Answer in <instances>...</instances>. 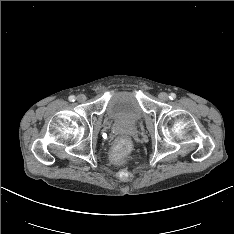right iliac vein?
Masks as SVG:
<instances>
[{"label": "right iliac vein", "instance_id": "63e3f726", "mask_svg": "<svg viewBox=\"0 0 234 234\" xmlns=\"http://www.w3.org/2000/svg\"><path fill=\"white\" fill-rule=\"evenodd\" d=\"M78 102L82 103L86 101V96L84 94H80L77 96Z\"/></svg>", "mask_w": 234, "mask_h": 234}]
</instances>
